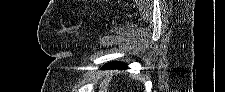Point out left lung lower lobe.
I'll return each mask as SVG.
<instances>
[{
  "label": "left lung lower lobe",
  "instance_id": "left-lung-lower-lobe-1",
  "mask_svg": "<svg viewBox=\"0 0 225 92\" xmlns=\"http://www.w3.org/2000/svg\"><path fill=\"white\" fill-rule=\"evenodd\" d=\"M127 65L121 62H111L102 66L101 69H127Z\"/></svg>",
  "mask_w": 225,
  "mask_h": 92
}]
</instances>
